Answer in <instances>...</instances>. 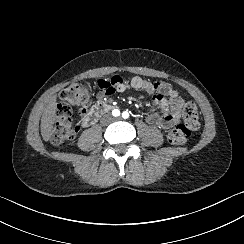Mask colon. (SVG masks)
I'll use <instances>...</instances> for the list:
<instances>
[{
  "label": "colon",
  "mask_w": 244,
  "mask_h": 244,
  "mask_svg": "<svg viewBox=\"0 0 244 244\" xmlns=\"http://www.w3.org/2000/svg\"><path fill=\"white\" fill-rule=\"evenodd\" d=\"M91 90L82 81H73L64 88L59 96L56 111V125L51 141L60 145L75 137L77 126L72 118L71 106L75 104L87 105ZM183 123L176 126L169 133L171 143L180 145L187 143L192 131L199 125V110L193 102H186L182 108Z\"/></svg>",
  "instance_id": "5ec220e1"
}]
</instances>
